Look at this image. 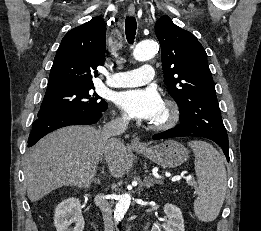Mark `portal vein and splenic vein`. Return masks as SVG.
Segmentation results:
<instances>
[{
    "label": "portal vein and splenic vein",
    "mask_w": 261,
    "mask_h": 231,
    "mask_svg": "<svg viewBox=\"0 0 261 231\" xmlns=\"http://www.w3.org/2000/svg\"><path fill=\"white\" fill-rule=\"evenodd\" d=\"M188 184L192 185L193 183H195V181H192L190 179L187 180Z\"/></svg>",
    "instance_id": "obj_1"
}]
</instances>
